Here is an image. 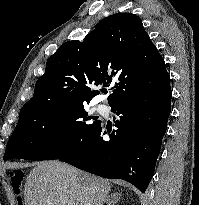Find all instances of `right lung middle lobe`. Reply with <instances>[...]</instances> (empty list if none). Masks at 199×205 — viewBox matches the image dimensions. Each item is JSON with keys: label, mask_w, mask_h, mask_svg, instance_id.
Wrapping results in <instances>:
<instances>
[{"label": "right lung middle lobe", "mask_w": 199, "mask_h": 205, "mask_svg": "<svg viewBox=\"0 0 199 205\" xmlns=\"http://www.w3.org/2000/svg\"><path fill=\"white\" fill-rule=\"evenodd\" d=\"M85 104L44 102L24 105L3 159L55 160L81 150L101 126ZM95 120L89 123L88 120Z\"/></svg>", "instance_id": "obj_1"}]
</instances>
